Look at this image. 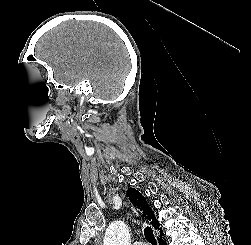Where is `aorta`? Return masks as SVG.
Masks as SVG:
<instances>
[{
    "mask_svg": "<svg viewBox=\"0 0 251 245\" xmlns=\"http://www.w3.org/2000/svg\"><path fill=\"white\" fill-rule=\"evenodd\" d=\"M103 245H131L126 224L122 221L112 222L105 233Z\"/></svg>",
    "mask_w": 251,
    "mask_h": 245,
    "instance_id": "1",
    "label": "aorta"
}]
</instances>
